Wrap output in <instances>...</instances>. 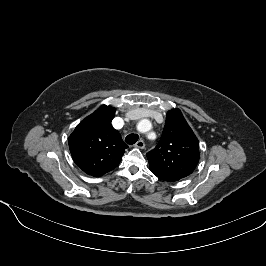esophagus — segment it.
<instances>
[{
    "label": "esophagus",
    "instance_id": "esophagus-1",
    "mask_svg": "<svg viewBox=\"0 0 266 266\" xmlns=\"http://www.w3.org/2000/svg\"><path fill=\"white\" fill-rule=\"evenodd\" d=\"M135 147L139 148V149H143L145 146V143L143 140H139L136 142V144L134 145Z\"/></svg>",
    "mask_w": 266,
    "mask_h": 266
}]
</instances>
